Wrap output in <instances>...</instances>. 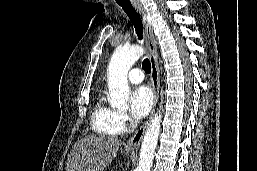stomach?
Here are the masks:
<instances>
[{
  "mask_svg": "<svg viewBox=\"0 0 257 171\" xmlns=\"http://www.w3.org/2000/svg\"><path fill=\"white\" fill-rule=\"evenodd\" d=\"M124 153H126V154H127V153H130V151H128V150H125V151H124Z\"/></svg>",
  "mask_w": 257,
  "mask_h": 171,
  "instance_id": "1",
  "label": "stomach"
}]
</instances>
